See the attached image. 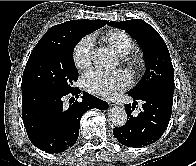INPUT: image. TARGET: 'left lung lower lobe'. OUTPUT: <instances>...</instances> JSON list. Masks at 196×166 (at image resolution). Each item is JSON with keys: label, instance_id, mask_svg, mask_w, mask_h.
I'll return each mask as SVG.
<instances>
[{"label": "left lung lower lobe", "instance_id": "obj_1", "mask_svg": "<svg viewBox=\"0 0 196 166\" xmlns=\"http://www.w3.org/2000/svg\"><path fill=\"white\" fill-rule=\"evenodd\" d=\"M128 95L134 99L132 106H125L128 121L122 127L113 129L114 136L122 145L133 148L154 143L162 136L169 123L173 94L150 91L139 96ZM137 100L143 101L142 110L137 116H133L132 111Z\"/></svg>", "mask_w": 196, "mask_h": 166}]
</instances>
